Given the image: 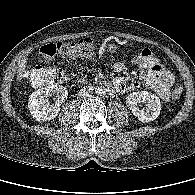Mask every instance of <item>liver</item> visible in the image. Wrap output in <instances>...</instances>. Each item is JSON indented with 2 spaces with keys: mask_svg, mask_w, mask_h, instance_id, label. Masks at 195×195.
Returning a JSON list of instances; mask_svg holds the SVG:
<instances>
[{
  "mask_svg": "<svg viewBox=\"0 0 195 195\" xmlns=\"http://www.w3.org/2000/svg\"><path fill=\"white\" fill-rule=\"evenodd\" d=\"M26 62H27V58H25L24 61L19 65V69H18V80L19 81H21L22 72L26 68Z\"/></svg>",
  "mask_w": 195,
  "mask_h": 195,
  "instance_id": "6515ba94",
  "label": "liver"
}]
</instances>
